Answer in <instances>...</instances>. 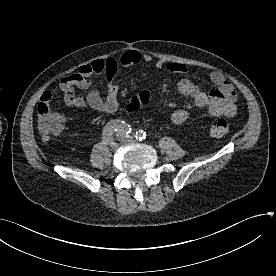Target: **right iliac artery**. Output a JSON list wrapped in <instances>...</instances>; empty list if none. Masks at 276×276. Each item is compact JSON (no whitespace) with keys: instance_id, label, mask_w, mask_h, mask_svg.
Wrapping results in <instances>:
<instances>
[{"instance_id":"1","label":"right iliac artery","mask_w":276,"mask_h":276,"mask_svg":"<svg viewBox=\"0 0 276 276\" xmlns=\"http://www.w3.org/2000/svg\"><path fill=\"white\" fill-rule=\"evenodd\" d=\"M114 131L120 132L124 135H128L131 133L132 129L131 126L127 124L125 121L112 120L109 123H107V125L104 127L102 134L103 139L106 142H109L112 138Z\"/></svg>"}]
</instances>
